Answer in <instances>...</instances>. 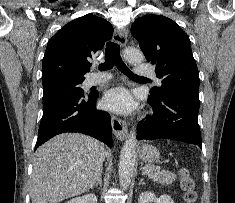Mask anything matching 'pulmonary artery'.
<instances>
[{
    "label": "pulmonary artery",
    "instance_id": "obj_1",
    "mask_svg": "<svg viewBox=\"0 0 235 203\" xmlns=\"http://www.w3.org/2000/svg\"><path fill=\"white\" fill-rule=\"evenodd\" d=\"M135 71L139 75L153 76L158 84L161 83V81L158 78L155 77L153 71L149 67H147V65H145V64L137 65ZM109 79H110L109 74H106V73H104V74L93 73L90 76H88V78L86 79L85 84L87 86H94V85L104 83V82L108 81Z\"/></svg>",
    "mask_w": 235,
    "mask_h": 203
}]
</instances>
